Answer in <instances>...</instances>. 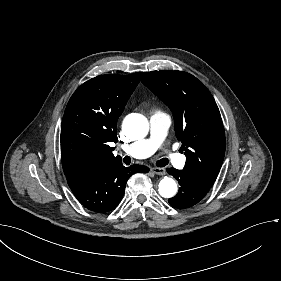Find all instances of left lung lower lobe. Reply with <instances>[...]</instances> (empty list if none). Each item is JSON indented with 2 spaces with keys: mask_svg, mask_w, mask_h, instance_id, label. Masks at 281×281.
<instances>
[{
  "mask_svg": "<svg viewBox=\"0 0 281 281\" xmlns=\"http://www.w3.org/2000/svg\"><path fill=\"white\" fill-rule=\"evenodd\" d=\"M167 172L177 179L181 186L177 195L168 200L175 208L185 209L197 204L211 188L192 172L174 168H167Z\"/></svg>",
  "mask_w": 281,
  "mask_h": 281,
  "instance_id": "1",
  "label": "left lung lower lobe"
}]
</instances>
